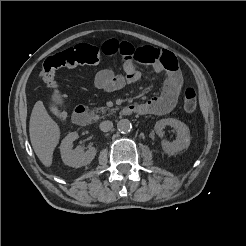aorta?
<instances>
[{
  "label": "aorta",
  "mask_w": 246,
  "mask_h": 246,
  "mask_svg": "<svg viewBox=\"0 0 246 246\" xmlns=\"http://www.w3.org/2000/svg\"><path fill=\"white\" fill-rule=\"evenodd\" d=\"M117 129L119 130V132L121 133H128L131 131L132 129V124L128 119H121L118 123H117Z\"/></svg>",
  "instance_id": "obj_1"
}]
</instances>
